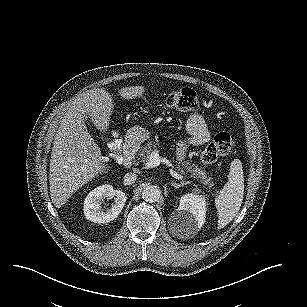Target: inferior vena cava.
<instances>
[{
	"mask_svg": "<svg viewBox=\"0 0 307 307\" xmlns=\"http://www.w3.org/2000/svg\"><path fill=\"white\" fill-rule=\"evenodd\" d=\"M137 179V174L135 173H126L124 176V185L129 186L135 183Z\"/></svg>",
	"mask_w": 307,
	"mask_h": 307,
	"instance_id": "602c4592",
	"label": "inferior vena cava"
}]
</instances>
